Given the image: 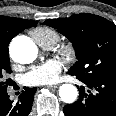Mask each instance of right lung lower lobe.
<instances>
[{
	"label": "right lung lower lobe",
	"instance_id": "right-lung-lower-lobe-1",
	"mask_svg": "<svg viewBox=\"0 0 116 116\" xmlns=\"http://www.w3.org/2000/svg\"><path fill=\"white\" fill-rule=\"evenodd\" d=\"M19 96V101L13 104L9 95L0 96V116H28L31 108L34 94L37 88L25 87Z\"/></svg>",
	"mask_w": 116,
	"mask_h": 116
}]
</instances>
